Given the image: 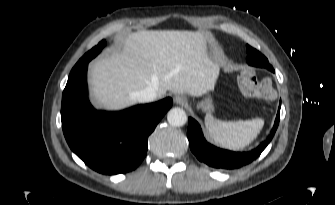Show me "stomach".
I'll list each match as a JSON object with an SVG mask.
<instances>
[{
  "label": "stomach",
  "instance_id": "obj_1",
  "mask_svg": "<svg viewBox=\"0 0 335 205\" xmlns=\"http://www.w3.org/2000/svg\"><path fill=\"white\" fill-rule=\"evenodd\" d=\"M197 108H201L208 113L212 112L214 110L212 98L210 96L206 97L203 101L197 104Z\"/></svg>",
  "mask_w": 335,
  "mask_h": 205
}]
</instances>
